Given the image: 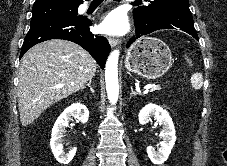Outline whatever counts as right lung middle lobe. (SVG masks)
Returning <instances> with one entry per match:
<instances>
[{
	"label": "right lung middle lobe",
	"mask_w": 227,
	"mask_h": 166,
	"mask_svg": "<svg viewBox=\"0 0 227 166\" xmlns=\"http://www.w3.org/2000/svg\"><path fill=\"white\" fill-rule=\"evenodd\" d=\"M79 5L70 4H42L34 5L32 9L31 23L51 17H76Z\"/></svg>",
	"instance_id": "dd1d6c3e"
}]
</instances>
